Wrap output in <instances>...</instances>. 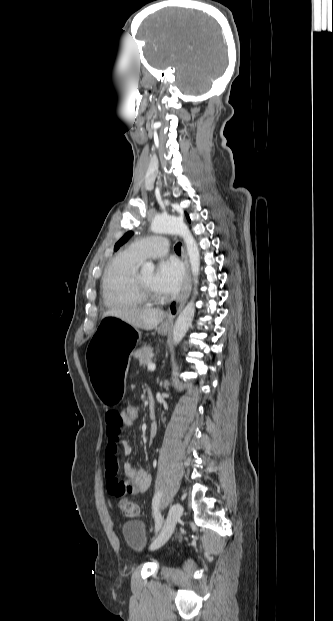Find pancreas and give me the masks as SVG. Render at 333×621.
I'll list each match as a JSON object with an SVG mask.
<instances>
[{
	"instance_id": "pancreas-1",
	"label": "pancreas",
	"mask_w": 333,
	"mask_h": 621,
	"mask_svg": "<svg viewBox=\"0 0 333 621\" xmlns=\"http://www.w3.org/2000/svg\"><path fill=\"white\" fill-rule=\"evenodd\" d=\"M152 348L149 346H143L142 348L136 350L134 352V357L139 359V363L141 366H145L152 362L153 352Z\"/></svg>"
}]
</instances>
